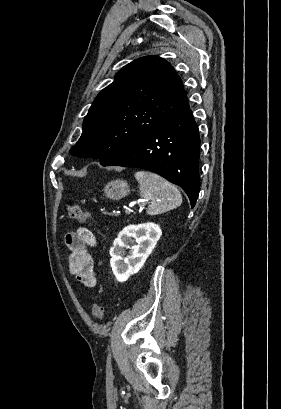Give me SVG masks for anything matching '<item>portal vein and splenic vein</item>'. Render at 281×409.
Returning a JSON list of instances; mask_svg holds the SVG:
<instances>
[{
	"label": "portal vein and splenic vein",
	"mask_w": 281,
	"mask_h": 409,
	"mask_svg": "<svg viewBox=\"0 0 281 409\" xmlns=\"http://www.w3.org/2000/svg\"><path fill=\"white\" fill-rule=\"evenodd\" d=\"M137 200H146V198H145V197H138ZM124 213H125V214H130V213H132V210H130V209H125V210H124Z\"/></svg>",
	"instance_id": "18ae733b"
}]
</instances>
